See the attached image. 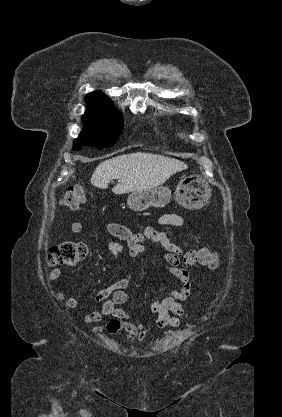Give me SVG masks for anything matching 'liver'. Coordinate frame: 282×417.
I'll use <instances>...</instances> for the list:
<instances>
[{
    "label": "liver",
    "instance_id": "1",
    "mask_svg": "<svg viewBox=\"0 0 282 417\" xmlns=\"http://www.w3.org/2000/svg\"><path fill=\"white\" fill-rule=\"evenodd\" d=\"M188 168V164L153 152H131L103 160L96 166L90 180L98 188H107L112 178H119L112 192L125 194L132 190H147L166 182L174 172Z\"/></svg>",
    "mask_w": 282,
    "mask_h": 417
}]
</instances>
